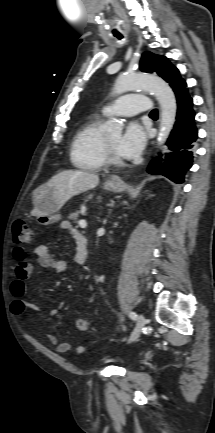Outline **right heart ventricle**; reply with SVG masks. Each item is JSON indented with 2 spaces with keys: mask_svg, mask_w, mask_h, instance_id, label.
I'll return each mask as SVG.
<instances>
[{
  "mask_svg": "<svg viewBox=\"0 0 215 433\" xmlns=\"http://www.w3.org/2000/svg\"><path fill=\"white\" fill-rule=\"evenodd\" d=\"M102 117L93 115L76 132L71 145V160L83 170H101L106 162L104 156V134L101 131Z\"/></svg>",
  "mask_w": 215,
  "mask_h": 433,
  "instance_id": "e07e8e85",
  "label": "right heart ventricle"
}]
</instances>
